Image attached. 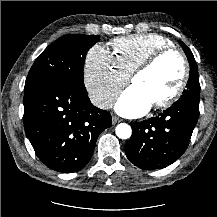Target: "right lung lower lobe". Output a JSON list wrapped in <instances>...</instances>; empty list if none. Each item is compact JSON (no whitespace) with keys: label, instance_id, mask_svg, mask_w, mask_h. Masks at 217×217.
Listing matches in <instances>:
<instances>
[{"label":"right lung lower lobe","instance_id":"obj_1","mask_svg":"<svg viewBox=\"0 0 217 217\" xmlns=\"http://www.w3.org/2000/svg\"><path fill=\"white\" fill-rule=\"evenodd\" d=\"M24 128L38 158L50 169L76 172L90 160L111 115L95 107L86 89L61 79L24 88Z\"/></svg>","mask_w":217,"mask_h":217}]
</instances>
